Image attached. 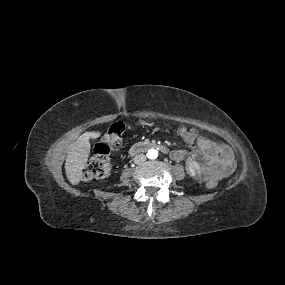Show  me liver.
Here are the masks:
<instances>
[{"instance_id": "liver-1", "label": "liver", "mask_w": 285, "mask_h": 285, "mask_svg": "<svg viewBox=\"0 0 285 285\" xmlns=\"http://www.w3.org/2000/svg\"><path fill=\"white\" fill-rule=\"evenodd\" d=\"M99 136L100 134L96 132H86L71 145L65 162L66 176L71 184L77 185L82 178V170L87 163L91 148L89 139H96Z\"/></svg>"}]
</instances>
